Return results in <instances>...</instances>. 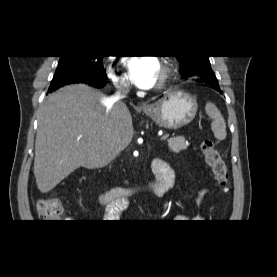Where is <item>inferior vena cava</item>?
<instances>
[{
	"label": "inferior vena cava",
	"mask_w": 277,
	"mask_h": 277,
	"mask_svg": "<svg viewBox=\"0 0 277 277\" xmlns=\"http://www.w3.org/2000/svg\"><path fill=\"white\" fill-rule=\"evenodd\" d=\"M116 88V92L109 99L106 100L107 111H109L110 108L116 103L120 105L124 104L122 102V99L126 97V94L128 92V85L127 83L122 82L120 84H117Z\"/></svg>",
	"instance_id": "obj_1"
}]
</instances>
